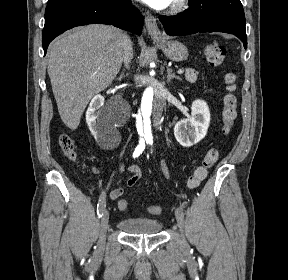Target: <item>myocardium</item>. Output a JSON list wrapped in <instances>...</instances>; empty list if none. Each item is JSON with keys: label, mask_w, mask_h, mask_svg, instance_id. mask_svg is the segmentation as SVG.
Here are the masks:
<instances>
[{"label": "myocardium", "mask_w": 288, "mask_h": 280, "mask_svg": "<svg viewBox=\"0 0 288 280\" xmlns=\"http://www.w3.org/2000/svg\"><path fill=\"white\" fill-rule=\"evenodd\" d=\"M189 2L190 0H173L172 5L169 9V12L180 13L188 7Z\"/></svg>", "instance_id": "1"}]
</instances>
